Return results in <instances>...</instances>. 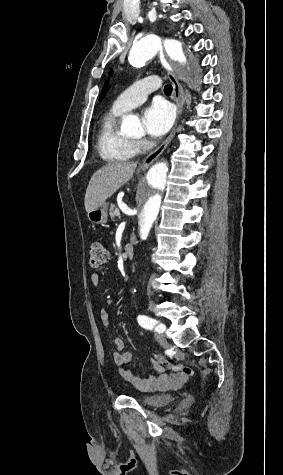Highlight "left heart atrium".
Returning <instances> with one entry per match:
<instances>
[{
    "label": "left heart atrium",
    "instance_id": "left-heart-atrium-1",
    "mask_svg": "<svg viewBox=\"0 0 283 475\" xmlns=\"http://www.w3.org/2000/svg\"><path fill=\"white\" fill-rule=\"evenodd\" d=\"M175 121V109L165 100H155L144 111L143 123L146 133L159 138L172 128Z\"/></svg>",
    "mask_w": 283,
    "mask_h": 475
}]
</instances>
